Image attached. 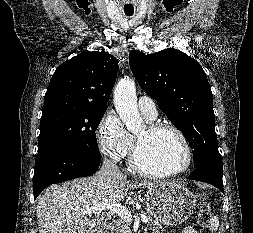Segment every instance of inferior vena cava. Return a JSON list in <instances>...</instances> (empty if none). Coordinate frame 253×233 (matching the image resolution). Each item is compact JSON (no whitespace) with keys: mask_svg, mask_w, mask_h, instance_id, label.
I'll use <instances>...</instances> for the list:
<instances>
[{"mask_svg":"<svg viewBox=\"0 0 253 233\" xmlns=\"http://www.w3.org/2000/svg\"><path fill=\"white\" fill-rule=\"evenodd\" d=\"M99 176H116V177H122L123 174L119 170L118 166L105 158L103 160V165L99 171Z\"/></svg>","mask_w":253,"mask_h":233,"instance_id":"obj_1","label":"inferior vena cava"}]
</instances>
